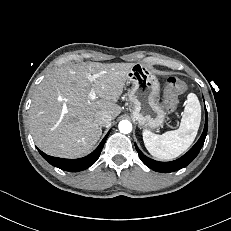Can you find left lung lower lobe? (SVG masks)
<instances>
[{
  "mask_svg": "<svg viewBox=\"0 0 231 231\" xmlns=\"http://www.w3.org/2000/svg\"><path fill=\"white\" fill-rule=\"evenodd\" d=\"M207 129H208V119H207V110L205 107V126L203 133L197 143L182 157L171 161V162H160V161H155L147 156H145L137 147L135 144L136 150L139 154L140 159L142 162L148 166L150 169L156 171V172H161V173H170L174 172L177 170H180L184 167H186L190 162L193 161V159L198 155L200 149L202 148L206 135H207Z\"/></svg>",
  "mask_w": 231,
  "mask_h": 231,
  "instance_id": "left-lung-lower-lobe-1",
  "label": "left lung lower lobe"
}]
</instances>
